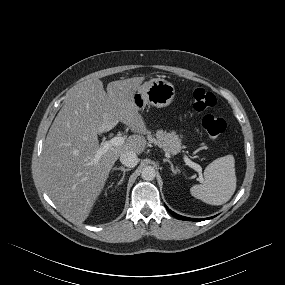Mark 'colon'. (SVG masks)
Masks as SVG:
<instances>
[{"mask_svg": "<svg viewBox=\"0 0 285 285\" xmlns=\"http://www.w3.org/2000/svg\"><path fill=\"white\" fill-rule=\"evenodd\" d=\"M216 102L215 95L203 88H196L192 93L193 108L197 112H205L202 118V126L212 140L218 139L226 130V122L222 118L208 113L215 107Z\"/></svg>", "mask_w": 285, "mask_h": 285, "instance_id": "5ec220e1", "label": "colon"}]
</instances>
